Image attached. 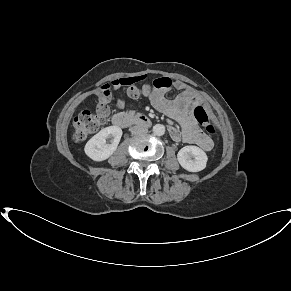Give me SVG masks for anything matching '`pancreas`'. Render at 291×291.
<instances>
[{"label":"pancreas","instance_id":"cf45deb5","mask_svg":"<svg viewBox=\"0 0 291 291\" xmlns=\"http://www.w3.org/2000/svg\"><path fill=\"white\" fill-rule=\"evenodd\" d=\"M129 114H130L131 116H135V115H136L135 111H129Z\"/></svg>","mask_w":291,"mask_h":291}]
</instances>
